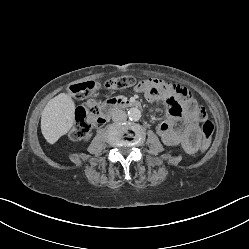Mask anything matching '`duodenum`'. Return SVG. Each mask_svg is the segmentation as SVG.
I'll return each instance as SVG.
<instances>
[{
  "instance_id": "duodenum-1",
  "label": "duodenum",
  "mask_w": 249,
  "mask_h": 249,
  "mask_svg": "<svg viewBox=\"0 0 249 249\" xmlns=\"http://www.w3.org/2000/svg\"><path fill=\"white\" fill-rule=\"evenodd\" d=\"M124 108H141V103L137 100L126 98L109 99L102 107V120L108 119L115 111Z\"/></svg>"
}]
</instances>
